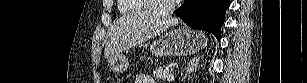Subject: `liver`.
<instances>
[{
    "mask_svg": "<svg viewBox=\"0 0 307 83\" xmlns=\"http://www.w3.org/2000/svg\"><path fill=\"white\" fill-rule=\"evenodd\" d=\"M179 23L169 18L142 12L118 20L107 36L104 56L109 59L127 47L148 41Z\"/></svg>",
    "mask_w": 307,
    "mask_h": 83,
    "instance_id": "1",
    "label": "liver"
}]
</instances>
